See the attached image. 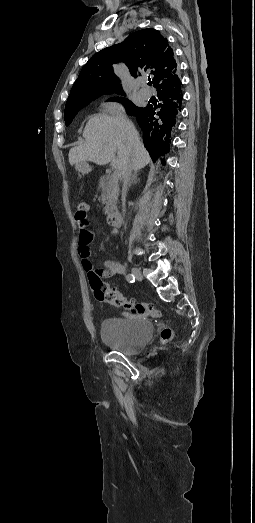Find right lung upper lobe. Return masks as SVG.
<instances>
[{
    "mask_svg": "<svg viewBox=\"0 0 255 523\" xmlns=\"http://www.w3.org/2000/svg\"><path fill=\"white\" fill-rule=\"evenodd\" d=\"M124 62L132 76L149 75L157 90L158 103L144 108L129 100L127 112L136 116L143 131L144 145L155 161L170 150L174 132L182 110L183 92L179 70L168 41L155 29H144L129 35L123 43L96 53L82 68L66 104L84 103L104 94L124 95L120 80L112 64Z\"/></svg>",
    "mask_w": 255,
    "mask_h": 523,
    "instance_id": "right-lung-upper-lobe-1",
    "label": "right lung upper lobe"
}]
</instances>
